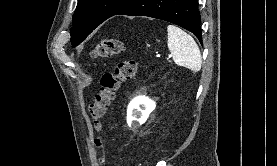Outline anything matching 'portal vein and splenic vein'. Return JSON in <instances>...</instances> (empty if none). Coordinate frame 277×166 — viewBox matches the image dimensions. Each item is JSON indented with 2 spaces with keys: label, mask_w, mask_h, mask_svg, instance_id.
<instances>
[{
  "label": "portal vein and splenic vein",
  "mask_w": 277,
  "mask_h": 166,
  "mask_svg": "<svg viewBox=\"0 0 277 166\" xmlns=\"http://www.w3.org/2000/svg\"><path fill=\"white\" fill-rule=\"evenodd\" d=\"M156 57H160V55H156Z\"/></svg>",
  "instance_id": "1"
}]
</instances>
